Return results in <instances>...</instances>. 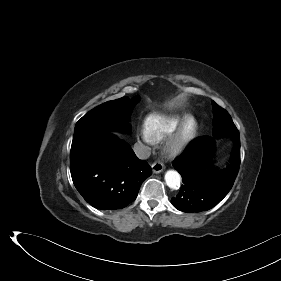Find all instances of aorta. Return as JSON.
I'll list each match as a JSON object with an SVG mask.
<instances>
[{
  "label": "aorta",
  "mask_w": 281,
  "mask_h": 281,
  "mask_svg": "<svg viewBox=\"0 0 281 281\" xmlns=\"http://www.w3.org/2000/svg\"><path fill=\"white\" fill-rule=\"evenodd\" d=\"M165 181L169 188L177 189L180 186L181 176L175 170H168L165 173Z\"/></svg>",
  "instance_id": "1"
}]
</instances>
